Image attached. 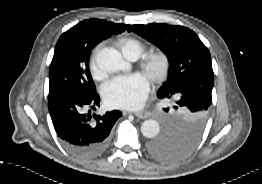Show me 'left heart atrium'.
<instances>
[{
	"mask_svg": "<svg viewBox=\"0 0 262 184\" xmlns=\"http://www.w3.org/2000/svg\"><path fill=\"white\" fill-rule=\"evenodd\" d=\"M143 91V82L139 79H133L115 85L109 93V98L112 100L118 99L122 93L126 92L130 94L131 99H136L142 95Z\"/></svg>",
	"mask_w": 262,
	"mask_h": 184,
	"instance_id": "obj_1",
	"label": "left heart atrium"
}]
</instances>
